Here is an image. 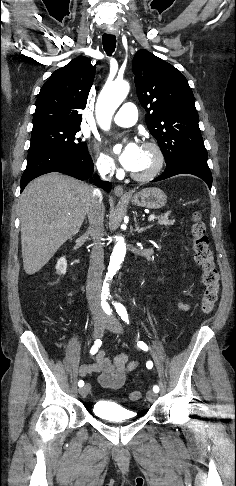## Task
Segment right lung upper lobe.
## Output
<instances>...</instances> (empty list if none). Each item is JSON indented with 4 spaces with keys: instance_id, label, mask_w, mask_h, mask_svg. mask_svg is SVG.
Listing matches in <instances>:
<instances>
[{
    "instance_id": "obj_1",
    "label": "right lung upper lobe",
    "mask_w": 236,
    "mask_h": 486,
    "mask_svg": "<svg viewBox=\"0 0 236 486\" xmlns=\"http://www.w3.org/2000/svg\"><path fill=\"white\" fill-rule=\"evenodd\" d=\"M89 58L79 56L56 70L42 86L36 100L33 127L43 124L80 125L94 80Z\"/></svg>"
}]
</instances>
